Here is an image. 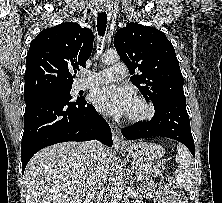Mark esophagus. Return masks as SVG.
<instances>
[{
  "instance_id": "obj_1",
  "label": "esophagus",
  "mask_w": 222,
  "mask_h": 203,
  "mask_svg": "<svg viewBox=\"0 0 222 203\" xmlns=\"http://www.w3.org/2000/svg\"><path fill=\"white\" fill-rule=\"evenodd\" d=\"M107 9L106 5L101 4L99 6V11L100 12H105ZM111 131H112V138H113V144L115 148H119L121 146H124V142L122 140L120 130L116 125H111Z\"/></svg>"
}]
</instances>
